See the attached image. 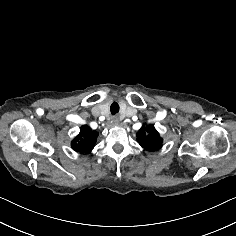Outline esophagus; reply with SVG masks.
Listing matches in <instances>:
<instances>
[{
    "instance_id": "obj_1",
    "label": "esophagus",
    "mask_w": 236,
    "mask_h": 236,
    "mask_svg": "<svg viewBox=\"0 0 236 236\" xmlns=\"http://www.w3.org/2000/svg\"><path fill=\"white\" fill-rule=\"evenodd\" d=\"M119 124V117L118 116H112L110 118V125L117 126Z\"/></svg>"
}]
</instances>
